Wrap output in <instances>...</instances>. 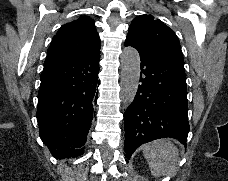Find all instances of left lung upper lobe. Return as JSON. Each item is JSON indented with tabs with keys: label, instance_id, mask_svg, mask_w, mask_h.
Here are the masks:
<instances>
[{
	"label": "left lung upper lobe",
	"instance_id": "obj_1",
	"mask_svg": "<svg viewBox=\"0 0 228 181\" xmlns=\"http://www.w3.org/2000/svg\"><path fill=\"white\" fill-rule=\"evenodd\" d=\"M126 41L141 51L184 64L181 46L174 31L151 15L134 18Z\"/></svg>",
	"mask_w": 228,
	"mask_h": 181
}]
</instances>
